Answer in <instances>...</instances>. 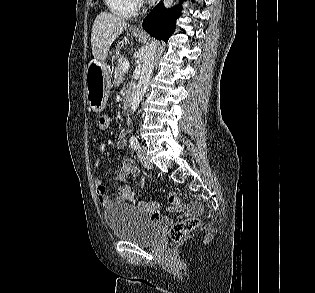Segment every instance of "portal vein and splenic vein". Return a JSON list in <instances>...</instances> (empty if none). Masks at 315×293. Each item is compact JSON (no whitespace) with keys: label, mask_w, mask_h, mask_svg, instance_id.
I'll return each instance as SVG.
<instances>
[{"label":"portal vein and splenic vein","mask_w":315,"mask_h":293,"mask_svg":"<svg viewBox=\"0 0 315 293\" xmlns=\"http://www.w3.org/2000/svg\"><path fill=\"white\" fill-rule=\"evenodd\" d=\"M129 66H130L129 61H125V62L123 63V71H124V72L128 71Z\"/></svg>","instance_id":"1"}]
</instances>
